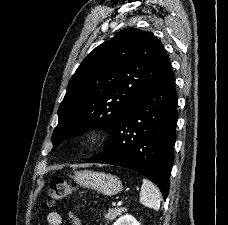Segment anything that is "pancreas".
Returning <instances> with one entry per match:
<instances>
[{
	"mask_svg": "<svg viewBox=\"0 0 228 225\" xmlns=\"http://www.w3.org/2000/svg\"><path fill=\"white\" fill-rule=\"evenodd\" d=\"M122 213H126L124 207H120V209H108L107 213L104 215L107 225H109V221H114V219L119 217V215H122Z\"/></svg>",
	"mask_w": 228,
	"mask_h": 225,
	"instance_id": "cf45deb5",
	"label": "pancreas"
}]
</instances>
